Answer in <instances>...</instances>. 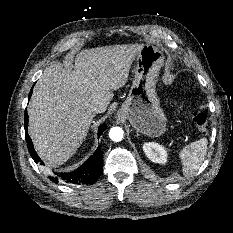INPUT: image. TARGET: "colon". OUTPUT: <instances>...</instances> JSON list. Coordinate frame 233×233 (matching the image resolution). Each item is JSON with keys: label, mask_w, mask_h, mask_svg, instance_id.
Wrapping results in <instances>:
<instances>
[{"label": "colon", "mask_w": 233, "mask_h": 233, "mask_svg": "<svg viewBox=\"0 0 233 233\" xmlns=\"http://www.w3.org/2000/svg\"><path fill=\"white\" fill-rule=\"evenodd\" d=\"M171 104L174 106L178 105L176 102H172ZM179 106L194 122L197 130L201 134H206L208 132V118L203 111L195 109L190 102L181 103Z\"/></svg>", "instance_id": "5ec220e1"}]
</instances>
